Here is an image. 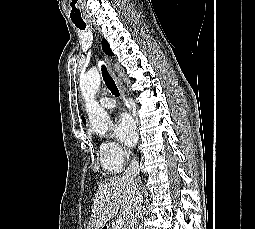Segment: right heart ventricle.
<instances>
[{
    "mask_svg": "<svg viewBox=\"0 0 255 229\" xmlns=\"http://www.w3.org/2000/svg\"><path fill=\"white\" fill-rule=\"evenodd\" d=\"M100 162H101L103 168H104L105 170H107L108 172H110V173H118V172H120V171L122 170V168H123V165H121V164H111V163L107 162V161L104 159L101 150H100Z\"/></svg>",
    "mask_w": 255,
    "mask_h": 229,
    "instance_id": "e07e8e85",
    "label": "right heart ventricle"
}]
</instances>
